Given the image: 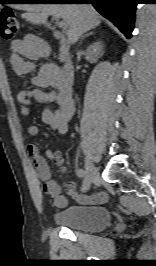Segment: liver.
Masks as SVG:
<instances>
[{"label": "liver", "mask_w": 156, "mask_h": 266, "mask_svg": "<svg viewBox=\"0 0 156 266\" xmlns=\"http://www.w3.org/2000/svg\"><path fill=\"white\" fill-rule=\"evenodd\" d=\"M17 8L25 10L22 17L33 24L45 23L50 15L62 18L69 26L67 37L71 43L101 23L98 12L88 4H18Z\"/></svg>", "instance_id": "liver-1"}]
</instances>
